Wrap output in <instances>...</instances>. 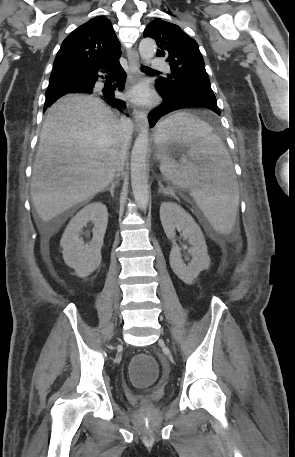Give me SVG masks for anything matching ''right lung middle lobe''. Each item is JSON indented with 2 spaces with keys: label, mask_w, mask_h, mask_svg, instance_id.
<instances>
[{
  "label": "right lung middle lobe",
  "mask_w": 295,
  "mask_h": 457,
  "mask_svg": "<svg viewBox=\"0 0 295 457\" xmlns=\"http://www.w3.org/2000/svg\"><path fill=\"white\" fill-rule=\"evenodd\" d=\"M46 95L49 96V95H50V92H46Z\"/></svg>",
  "instance_id": "right-lung-middle-lobe-1"
}]
</instances>
